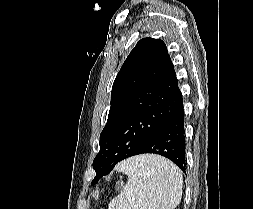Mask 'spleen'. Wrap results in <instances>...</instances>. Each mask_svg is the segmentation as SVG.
I'll return each instance as SVG.
<instances>
[{"instance_id": "3e777b00", "label": "spleen", "mask_w": 253, "mask_h": 209, "mask_svg": "<svg viewBox=\"0 0 253 209\" xmlns=\"http://www.w3.org/2000/svg\"><path fill=\"white\" fill-rule=\"evenodd\" d=\"M128 176L109 209H175L181 201L183 178L179 168L158 155L144 154L118 164Z\"/></svg>"}]
</instances>
